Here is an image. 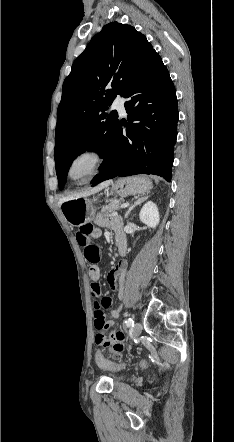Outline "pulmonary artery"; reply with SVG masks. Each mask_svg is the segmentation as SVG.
<instances>
[{"mask_svg": "<svg viewBox=\"0 0 234 442\" xmlns=\"http://www.w3.org/2000/svg\"><path fill=\"white\" fill-rule=\"evenodd\" d=\"M113 108L116 109L121 115H125L126 114V109H125V100L123 98L117 97L113 104H112Z\"/></svg>", "mask_w": 234, "mask_h": 442, "instance_id": "pulmonary-artery-1", "label": "pulmonary artery"}]
</instances>
